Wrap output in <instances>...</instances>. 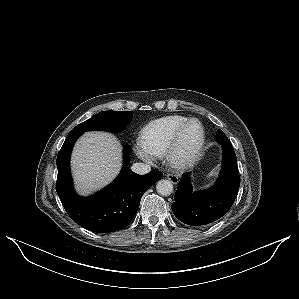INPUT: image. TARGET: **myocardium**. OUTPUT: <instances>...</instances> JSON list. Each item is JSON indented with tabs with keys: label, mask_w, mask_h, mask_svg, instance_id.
Masks as SVG:
<instances>
[{
	"label": "myocardium",
	"mask_w": 299,
	"mask_h": 299,
	"mask_svg": "<svg viewBox=\"0 0 299 299\" xmlns=\"http://www.w3.org/2000/svg\"><path fill=\"white\" fill-rule=\"evenodd\" d=\"M193 123H197L200 127V136L196 144L191 149H184L182 139ZM205 143V129L201 121L196 118L188 119L176 132L170 147L166 153V160L170 166L176 170H183L191 166L200 156Z\"/></svg>",
	"instance_id": "obj_1"
}]
</instances>
